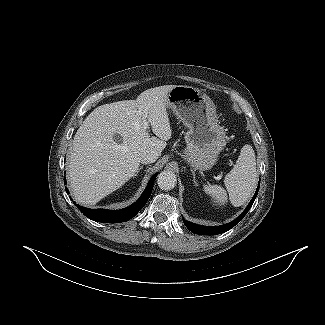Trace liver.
I'll return each instance as SVG.
<instances>
[{
  "label": "liver",
  "mask_w": 325,
  "mask_h": 325,
  "mask_svg": "<svg viewBox=\"0 0 325 325\" xmlns=\"http://www.w3.org/2000/svg\"><path fill=\"white\" fill-rule=\"evenodd\" d=\"M175 86L150 88L136 100L101 105L86 117L69 154L68 179L77 202L94 205L120 188L135 175L144 151L161 155L172 135L166 105ZM143 116L158 138L143 128ZM116 135L121 141H115Z\"/></svg>",
  "instance_id": "1"
}]
</instances>
